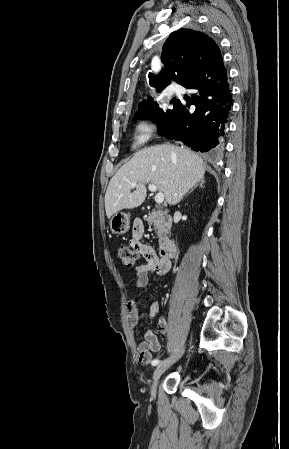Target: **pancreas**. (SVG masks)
I'll use <instances>...</instances> for the list:
<instances>
[{
	"label": "pancreas",
	"instance_id": "pancreas-1",
	"mask_svg": "<svg viewBox=\"0 0 289 449\" xmlns=\"http://www.w3.org/2000/svg\"><path fill=\"white\" fill-rule=\"evenodd\" d=\"M144 220L149 225H154L159 243L167 238L171 229V222L160 211L152 212L149 216L144 217Z\"/></svg>",
	"mask_w": 289,
	"mask_h": 449
}]
</instances>
